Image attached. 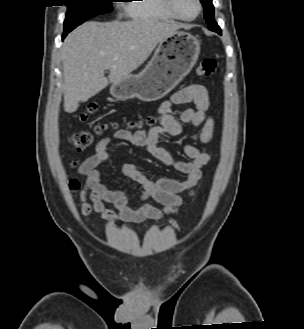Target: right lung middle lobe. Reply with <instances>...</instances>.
Instances as JSON below:
<instances>
[{
    "label": "right lung middle lobe",
    "instance_id": "right-lung-middle-lobe-1",
    "mask_svg": "<svg viewBox=\"0 0 304 329\" xmlns=\"http://www.w3.org/2000/svg\"><path fill=\"white\" fill-rule=\"evenodd\" d=\"M67 13L64 21V32L66 36L75 27L86 20L112 11L113 0H66Z\"/></svg>",
    "mask_w": 304,
    "mask_h": 329
}]
</instances>
